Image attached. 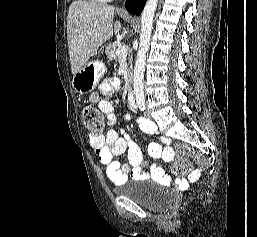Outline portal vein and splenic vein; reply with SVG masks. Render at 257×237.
Returning a JSON list of instances; mask_svg holds the SVG:
<instances>
[{
  "mask_svg": "<svg viewBox=\"0 0 257 237\" xmlns=\"http://www.w3.org/2000/svg\"><path fill=\"white\" fill-rule=\"evenodd\" d=\"M128 51V47L126 45L121 46L116 50V55L117 56H122L125 55Z\"/></svg>",
  "mask_w": 257,
  "mask_h": 237,
  "instance_id": "18ae733b",
  "label": "portal vein and splenic vein"
}]
</instances>
